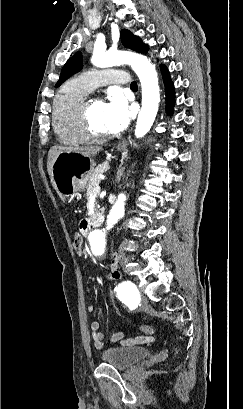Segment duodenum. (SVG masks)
<instances>
[{"instance_id": "410a0bca", "label": "duodenum", "mask_w": 243, "mask_h": 409, "mask_svg": "<svg viewBox=\"0 0 243 409\" xmlns=\"http://www.w3.org/2000/svg\"><path fill=\"white\" fill-rule=\"evenodd\" d=\"M99 226H100V222L98 220H91V221H86L83 223V229L85 231L97 228Z\"/></svg>"}]
</instances>
